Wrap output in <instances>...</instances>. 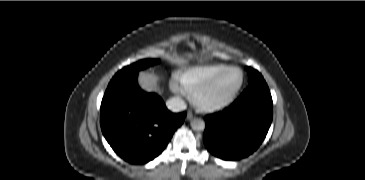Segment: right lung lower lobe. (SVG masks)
I'll return each mask as SVG.
<instances>
[{"label": "right lung lower lobe", "mask_w": 365, "mask_h": 180, "mask_svg": "<svg viewBox=\"0 0 365 180\" xmlns=\"http://www.w3.org/2000/svg\"><path fill=\"white\" fill-rule=\"evenodd\" d=\"M186 112L171 113L162 99L142 91L137 74L111 80L101 103L100 124L112 149L125 161L144 164L157 157Z\"/></svg>", "instance_id": "obj_1"}]
</instances>
